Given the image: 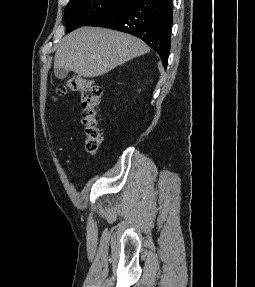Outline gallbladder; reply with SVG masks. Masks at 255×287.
I'll use <instances>...</instances> for the list:
<instances>
[{
	"mask_svg": "<svg viewBox=\"0 0 255 287\" xmlns=\"http://www.w3.org/2000/svg\"><path fill=\"white\" fill-rule=\"evenodd\" d=\"M69 70H65V68H57V66H54V74L56 78H59V80H63V78H66Z\"/></svg>",
	"mask_w": 255,
	"mask_h": 287,
	"instance_id": "bac80fb5",
	"label": "gallbladder"
}]
</instances>
